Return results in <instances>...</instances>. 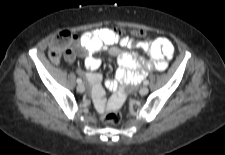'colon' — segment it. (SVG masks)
<instances>
[{"instance_id":"5ec220e1","label":"colon","mask_w":225,"mask_h":155,"mask_svg":"<svg viewBox=\"0 0 225 155\" xmlns=\"http://www.w3.org/2000/svg\"><path fill=\"white\" fill-rule=\"evenodd\" d=\"M113 32L119 38L125 37V32L121 28H114ZM132 35L134 39H140L144 36V32L136 30ZM72 39L73 36L68 31L59 32L52 38L49 45V57L53 62H59L62 56L66 57L70 53L68 45ZM102 120L107 124H117L120 122V114L108 106L103 112Z\"/></svg>"}]
</instances>
